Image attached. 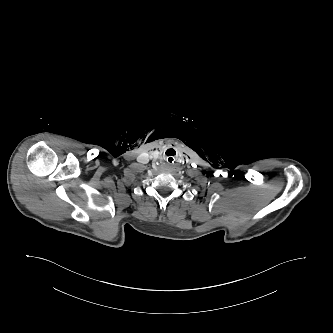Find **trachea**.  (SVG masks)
Instances as JSON below:
<instances>
[{"label":"trachea","instance_id":"obj_1","mask_svg":"<svg viewBox=\"0 0 333 333\" xmlns=\"http://www.w3.org/2000/svg\"><path fill=\"white\" fill-rule=\"evenodd\" d=\"M164 160L169 165H175L179 161V156L175 152H169L165 155Z\"/></svg>","mask_w":333,"mask_h":333}]
</instances>
